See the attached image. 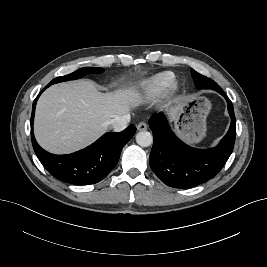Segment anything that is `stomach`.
<instances>
[{
  "label": "stomach",
  "instance_id": "obj_1",
  "mask_svg": "<svg viewBox=\"0 0 267 267\" xmlns=\"http://www.w3.org/2000/svg\"><path fill=\"white\" fill-rule=\"evenodd\" d=\"M211 110L210 101L203 96L185 99L175 118L177 134L189 144H197L206 136V118Z\"/></svg>",
  "mask_w": 267,
  "mask_h": 267
}]
</instances>
